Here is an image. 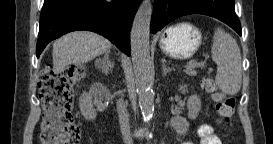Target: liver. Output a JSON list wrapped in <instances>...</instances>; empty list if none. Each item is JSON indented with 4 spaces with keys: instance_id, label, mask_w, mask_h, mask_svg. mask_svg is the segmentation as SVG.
Segmentation results:
<instances>
[{
    "instance_id": "6515ba94",
    "label": "liver",
    "mask_w": 273,
    "mask_h": 144,
    "mask_svg": "<svg viewBox=\"0 0 273 144\" xmlns=\"http://www.w3.org/2000/svg\"><path fill=\"white\" fill-rule=\"evenodd\" d=\"M111 48L105 37L90 31H75L64 35L53 44V71L63 72L71 64L87 63Z\"/></svg>"
}]
</instances>
